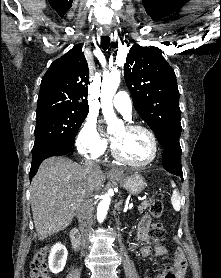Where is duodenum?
<instances>
[{"label":"duodenum","instance_id":"1","mask_svg":"<svg viewBox=\"0 0 221 278\" xmlns=\"http://www.w3.org/2000/svg\"><path fill=\"white\" fill-rule=\"evenodd\" d=\"M70 239L72 243V247L75 251L79 250V245H80V234L77 229H73L70 234Z\"/></svg>","mask_w":221,"mask_h":278}]
</instances>
